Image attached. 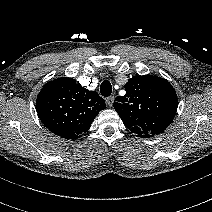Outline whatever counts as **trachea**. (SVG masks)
<instances>
[{
	"label": "trachea",
	"mask_w": 212,
	"mask_h": 212,
	"mask_svg": "<svg viewBox=\"0 0 212 212\" xmlns=\"http://www.w3.org/2000/svg\"><path fill=\"white\" fill-rule=\"evenodd\" d=\"M101 95L104 97H108L112 93V85L108 80H105L100 85Z\"/></svg>",
	"instance_id": "obj_1"
}]
</instances>
